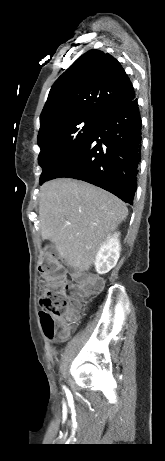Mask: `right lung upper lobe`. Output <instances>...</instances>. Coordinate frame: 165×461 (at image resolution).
Segmentation results:
<instances>
[{
	"label": "right lung upper lobe",
	"instance_id": "right-lung-upper-lobe-1",
	"mask_svg": "<svg viewBox=\"0 0 165 461\" xmlns=\"http://www.w3.org/2000/svg\"><path fill=\"white\" fill-rule=\"evenodd\" d=\"M133 99V85L121 64L108 53L90 50L53 84L40 115L38 135L61 120L80 116L101 119Z\"/></svg>",
	"mask_w": 165,
	"mask_h": 461
}]
</instances>
